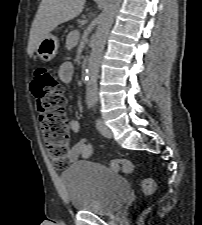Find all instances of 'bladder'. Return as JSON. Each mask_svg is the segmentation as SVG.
<instances>
[{
    "label": "bladder",
    "instance_id": "1",
    "mask_svg": "<svg viewBox=\"0 0 202 225\" xmlns=\"http://www.w3.org/2000/svg\"><path fill=\"white\" fill-rule=\"evenodd\" d=\"M62 182L73 210L98 215L117 212L130 191L123 175L89 161L72 164L62 173Z\"/></svg>",
    "mask_w": 202,
    "mask_h": 225
}]
</instances>
